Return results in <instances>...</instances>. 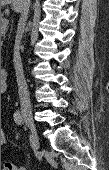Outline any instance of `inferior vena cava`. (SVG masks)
<instances>
[{
    "mask_svg": "<svg viewBox=\"0 0 109 170\" xmlns=\"http://www.w3.org/2000/svg\"><path fill=\"white\" fill-rule=\"evenodd\" d=\"M29 5L30 0H26V3L24 4L23 9L21 10V17L18 23V30L15 40V46H14V67L16 72V78H17V84H18V94L21 106L24 108H30V97H29V91L27 87V83L24 77L21 57H20V44H21V37L24 32V28L26 25L28 12H29Z\"/></svg>",
    "mask_w": 109,
    "mask_h": 170,
    "instance_id": "obj_1",
    "label": "inferior vena cava"
}]
</instances>
